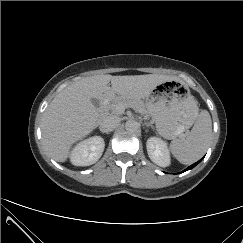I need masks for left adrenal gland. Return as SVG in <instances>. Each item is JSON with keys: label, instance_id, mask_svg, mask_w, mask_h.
Instances as JSON below:
<instances>
[{"label": "left adrenal gland", "instance_id": "left-adrenal-gland-1", "mask_svg": "<svg viewBox=\"0 0 243 243\" xmlns=\"http://www.w3.org/2000/svg\"><path fill=\"white\" fill-rule=\"evenodd\" d=\"M144 126L153 128L152 125H150L149 123H144Z\"/></svg>", "mask_w": 243, "mask_h": 243}]
</instances>
